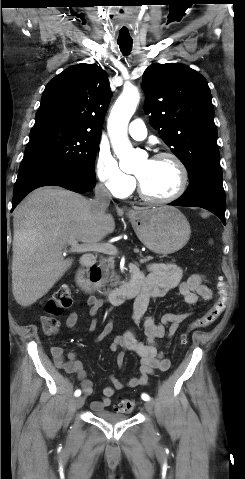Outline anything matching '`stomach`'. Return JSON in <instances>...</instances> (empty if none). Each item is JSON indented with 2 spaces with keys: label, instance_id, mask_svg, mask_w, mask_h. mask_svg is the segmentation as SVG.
Wrapping results in <instances>:
<instances>
[{
  "label": "stomach",
  "instance_id": "1",
  "mask_svg": "<svg viewBox=\"0 0 245 479\" xmlns=\"http://www.w3.org/2000/svg\"><path fill=\"white\" fill-rule=\"evenodd\" d=\"M140 241L151 251L171 254L183 248L191 234L186 217L170 206L147 207L129 214Z\"/></svg>",
  "mask_w": 245,
  "mask_h": 479
}]
</instances>
